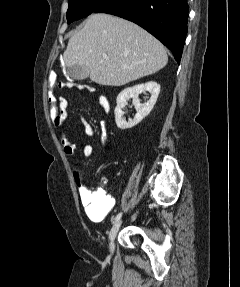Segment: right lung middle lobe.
Segmentation results:
<instances>
[{"label": "right lung middle lobe", "instance_id": "obj_1", "mask_svg": "<svg viewBox=\"0 0 240 287\" xmlns=\"http://www.w3.org/2000/svg\"><path fill=\"white\" fill-rule=\"evenodd\" d=\"M107 0H68V24L90 15Z\"/></svg>", "mask_w": 240, "mask_h": 287}]
</instances>
